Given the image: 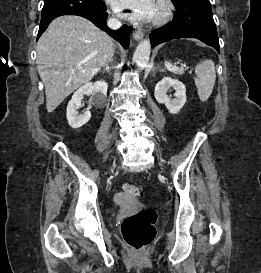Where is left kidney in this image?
Wrapping results in <instances>:
<instances>
[{"label": "left kidney", "instance_id": "obj_1", "mask_svg": "<svg viewBox=\"0 0 261 273\" xmlns=\"http://www.w3.org/2000/svg\"><path fill=\"white\" fill-rule=\"evenodd\" d=\"M171 87L175 90V98L173 99L167 95ZM154 96L158 103L165 104L171 114H177L186 102V88L179 80L164 77L156 84Z\"/></svg>", "mask_w": 261, "mask_h": 273}]
</instances>
